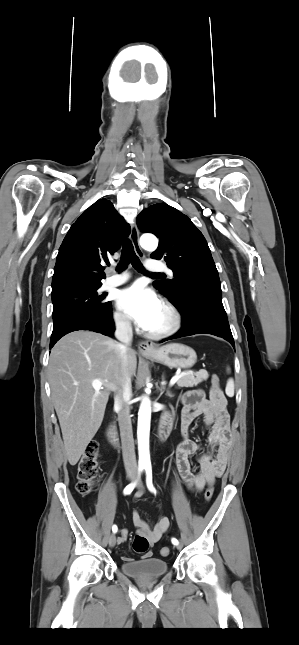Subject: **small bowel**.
I'll return each instance as SVG.
<instances>
[{
  "instance_id": "small-bowel-1",
  "label": "small bowel",
  "mask_w": 299,
  "mask_h": 645,
  "mask_svg": "<svg viewBox=\"0 0 299 645\" xmlns=\"http://www.w3.org/2000/svg\"><path fill=\"white\" fill-rule=\"evenodd\" d=\"M183 408L181 412L182 442L176 449L175 462L178 473L192 492H200L206 486L212 485L216 478L223 475L230 455L232 437L230 434V416L227 411V400L221 390H211L209 397H206L202 390H191L182 397ZM202 416L203 422L209 428L206 450H202L199 443L190 437V429L193 421ZM196 457L198 468L193 471L191 457ZM138 492L136 499L141 497ZM134 526L137 528V535L148 540L149 546H153L167 532L170 521L166 516H161L155 525L151 527L138 511L132 514ZM128 538V530L122 529L119 543H124ZM152 556L151 551L143 554V558ZM124 561L132 560L123 556Z\"/></svg>"
}]
</instances>
